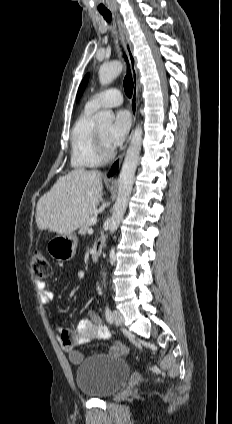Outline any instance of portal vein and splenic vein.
<instances>
[{
    "mask_svg": "<svg viewBox=\"0 0 232 424\" xmlns=\"http://www.w3.org/2000/svg\"><path fill=\"white\" fill-rule=\"evenodd\" d=\"M96 222H97V219H96V218H91V219H90V223H91V225H95V224H96Z\"/></svg>",
    "mask_w": 232,
    "mask_h": 424,
    "instance_id": "18ae733b",
    "label": "portal vein and splenic vein"
}]
</instances>
